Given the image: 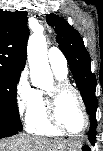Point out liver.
I'll return each instance as SVG.
<instances>
[{"label":"liver","mask_w":103,"mask_h":151,"mask_svg":"<svg viewBox=\"0 0 103 151\" xmlns=\"http://www.w3.org/2000/svg\"><path fill=\"white\" fill-rule=\"evenodd\" d=\"M81 144L70 140H53L28 134H19L0 142V151H74Z\"/></svg>","instance_id":"liver-1"}]
</instances>
